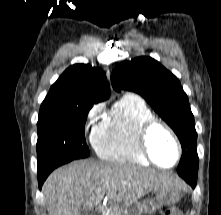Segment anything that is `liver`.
I'll return each mask as SVG.
<instances>
[{"instance_id": "liver-1", "label": "liver", "mask_w": 221, "mask_h": 215, "mask_svg": "<svg viewBox=\"0 0 221 215\" xmlns=\"http://www.w3.org/2000/svg\"><path fill=\"white\" fill-rule=\"evenodd\" d=\"M185 186L175 176L134 164L79 160L52 172L43 193L49 215H80L83 208L99 205L105 194L128 205L154 190Z\"/></svg>"}]
</instances>
